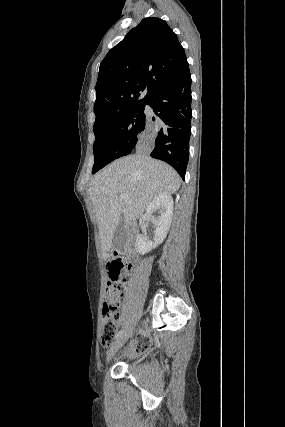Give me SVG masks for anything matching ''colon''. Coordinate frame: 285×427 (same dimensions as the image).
<instances>
[{"label": "colon", "mask_w": 285, "mask_h": 427, "mask_svg": "<svg viewBox=\"0 0 285 427\" xmlns=\"http://www.w3.org/2000/svg\"><path fill=\"white\" fill-rule=\"evenodd\" d=\"M130 264L122 256L114 254L108 263L109 280L104 293V303L102 310V344L107 347L110 345L118 333L119 314L117 309L121 304L123 289L125 285V266Z\"/></svg>", "instance_id": "5ec220e1"}]
</instances>
